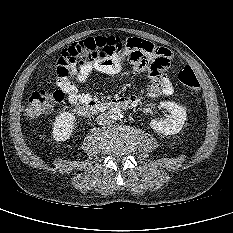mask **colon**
Returning a JSON list of instances; mask_svg holds the SVG:
<instances>
[{
    "label": "colon",
    "mask_w": 233,
    "mask_h": 233,
    "mask_svg": "<svg viewBox=\"0 0 233 233\" xmlns=\"http://www.w3.org/2000/svg\"><path fill=\"white\" fill-rule=\"evenodd\" d=\"M126 41L120 37L99 36L76 42L63 50L57 61V73L68 74L74 66H83L94 62L108 63L117 57L122 59L125 56ZM178 80L193 91L200 89L197 75L189 66H185L178 73ZM63 99L64 93L61 90L53 92L36 90L29 97L27 114L30 117L39 116Z\"/></svg>",
    "instance_id": "1"
}]
</instances>
